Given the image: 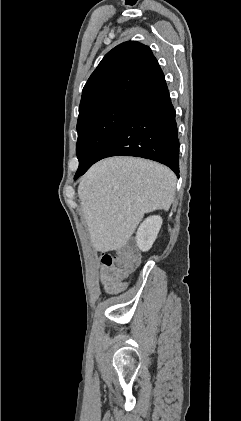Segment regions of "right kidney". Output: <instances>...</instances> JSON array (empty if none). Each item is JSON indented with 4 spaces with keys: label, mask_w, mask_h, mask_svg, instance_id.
<instances>
[{
    "label": "right kidney",
    "mask_w": 241,
    "mask_h": 421,
    "mask_svg": "<svg viewBox=\"0 0 241 421\" xmlns=\"http://www.w3.org/2000/svg\"><path fill=\"white\" fill-rule=\"evenodd\" d=\"M162 225L160 216H150L139 226L136 233L137 246L141 251H148L157 238Z\"/></svg>",
    "instance_id": "ca27d5eb"
}]
</instances>
